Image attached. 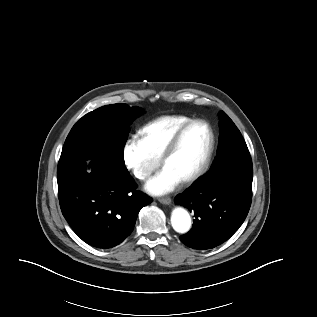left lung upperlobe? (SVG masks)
Wrapping results in <instances>:
<instances>
[{
	"label": "left lung upper lobe",
	"mask_w": 317,
	"mask_h": 317,
	"mask_svg": "<svg viewBox=\"0 0 317 317\" xmlns=\"http://www.w3.org/2000/svg\"><path fill=\"white\" fill-rule=\"evenodd\" d=\"M231 166L252 168V160L240 131L233 121L221 111L217 156L207 175L215 177Z\"/></svg>",
	"instance_id": "5c2ea615"
}]
</instances>
